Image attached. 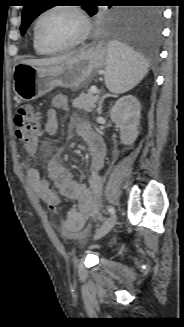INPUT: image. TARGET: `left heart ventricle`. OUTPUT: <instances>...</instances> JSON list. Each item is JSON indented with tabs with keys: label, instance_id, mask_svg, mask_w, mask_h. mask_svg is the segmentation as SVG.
Wrapping results in <instances>:
<instances>
[{
	"label": "left heart ventricle",
	"instance_id": "left-heart-ventricle-1",
	"mask_svg": "<svg viewBox=\"0 0 184 327\" xmlns=\"http://www.w3.org/2000/svg\"><path fill=\"white\" fill-rule=\"evenodd\" d=\"M82 33L78 17L68 10H56L46 15L39 26L42 40L50 46L59 47L76 40Z\"/></svg>",
	"mask_w": 184,
	"mask_h": 327
}]
</instances>
